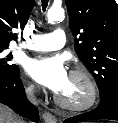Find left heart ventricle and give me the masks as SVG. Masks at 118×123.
Masks as SVG:
<instances>
[{
  "label": "left heart ventricle",
  "instance_id": "obj_1",
  "mask_svg": "<svg viewBox=\"0 0 118 123\" xmlns=\"http://www.w3.org/2000/svg\"><path fill=\"white\" fill-rule=\"evenodd\" d=\"M58 95L68 102L78 103L86 98L87 87L83 80L70 76L67 85Z\"/></svg>",
  "mask_w": 118,
  "mask_h": 123
}]
</instances>
